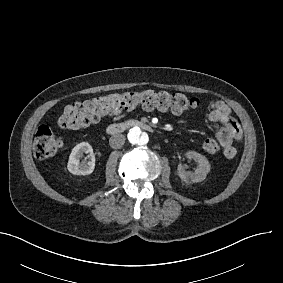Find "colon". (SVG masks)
<instances>
[{"label": "colon", "mask_w": 283, "mask_h": 283, "mask_svg": "<svg viewBox=\"0 0 283 283\" xmlns=\"http://www.w3.org/2000/svg\"><path fill=\"white\" fill-rule=\"evenodd\" d=\"M198 105L197 98L183 93L156 90L127 91L67 104L59 117L58 125L63 129H79L98 121L103 116L118 115L137 106L184 111L193 110ZM62 147V139L49 127H41L37 130L33 140V152L37 158L45 159ZM202 148L208 154H215L220 151L221 146L215 139L206 138Z\"/></svg>", "instance_id": "5ec220e1"}]
</instances>
